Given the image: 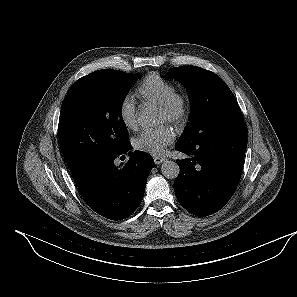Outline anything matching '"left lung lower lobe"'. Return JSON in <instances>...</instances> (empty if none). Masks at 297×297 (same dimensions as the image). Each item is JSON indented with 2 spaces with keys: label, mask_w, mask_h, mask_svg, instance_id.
I'll use <instances>...</instances> for the list:
<instances>
[{
  "label": "left lung lower lobe",
  "mask_w": 297,
  "mask_h": 297,
  "mask_svg": "<svg viewBox=\"0 0 297 297\" xmlns=\"http://www.w3.org/2000/svg\"><path fill=\"white\" fill-rule=\"evenodd\" d=\"M246 146L244 123L212 133L193 145L177 142V151L193 156L176 161L180 172L174 191L179 203L196 216L219 211L238 186Z\"/></svg>",
  "instance_id": "obj_1"
}]
</instances>
